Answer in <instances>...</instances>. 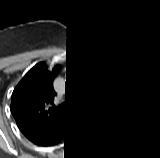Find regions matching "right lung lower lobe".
Segmentation results:
<instances>
[{"label":"right lung lower lobe","instance_id":"right-lung-lower-lobe-1","mask_svg":"<svg viewBox=\"0 0 160 158\" xmlns=\"http://www.w3.org/2000/svg\"><path fill=\"white\" fill-rule=\"evenodd\" d=\"M70 118L71 114L65 117L57 126L29 140L38 146H52L59 143L62 139L65 140Z\"/></svg>","mask_w":160,"mask_h":158}]
</instances>
